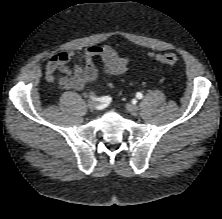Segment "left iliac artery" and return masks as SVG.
Wrapping results in <instances>:
<instances>
[{
  "label": "left iliac artery",
  "instance_id": "1",
  "mask_svg": "<svg viewBox=\"0 0 222 219\" xmlns=\"http://www.w3.org/2000/svg\"><path fill=\"white\" fill-rule=\"evenodd\" d=\"M136 97H137L138 99H142V98H143V94L140 93V92H138V93L136 94Z\"/></svg>",
  "mask_w": 222,
  "mask_h": 219
}]
</instances>
